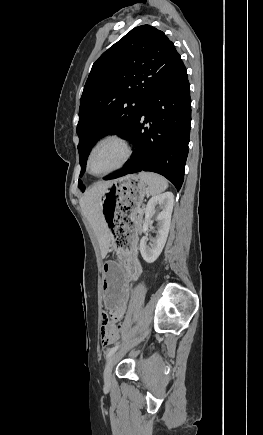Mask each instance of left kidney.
<instances>
[{
    "label": "left kidney",
    "instance_id": "5707ae66",
    "mask_svg": "<svg viewBox=\"0 0 263 435\" xmlns=\"http://www.w3.org/2000/svg\"><path fill=\"white\" fill-rule=\"evenodd\" d=\"M173 204V193L165 192L163 194L153 196L146 205L145 221L142 227L143 233H146L148 231L149 225L151 223L150 219L152 218L154 213L158 209H161L156 217V220L158 221L157 232L156 237L152 240V243H150V245L146 244V236L142 237L140 240V252L143 259L147 263H153L154 261H156L164 248L170 229Z\"/></svg>",
    "mask_w": 263,
    "mask_h": 435
}]
</instances>
